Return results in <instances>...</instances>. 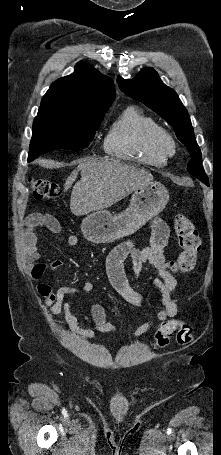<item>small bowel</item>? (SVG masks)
I'll return each instance as SVG.
<instances>
[{"mask_svg":"<svg viewBox=\"0 0 221 455\" xmlns=\"http://www.w3.org/2000/svg\"><path fill=\"white\" fill-rule=\"evenodd\" d=\"M45 228L53 233L61 231L58 220L47 213H33L25 222L21 234L22 251L26 262L33 266L32 274L34 278L41 277L47 271H53L63 266L62 261H53L49 264L37 263L40 254L37 250V231ZM169 240L168 226L160 219H154L149 230V245L139 248L133 241H127L116 246L107 256L105 265L106 272L114 290L127 303L139 306L143 303L144 296L136 291L127 278L125 272V261L130 258L133 265L135 278L138 279L143 271L145 264H149L157 276L153 279V285L160 294L163 305L155 319L148 320L139 325L132 333L130 339H135L151 329L155 321L163 322L167 319L176 317L182 312L178 305V279L177 276L168 268V262L164 255ZM69 246H76L79 238L70 235L67 238ZM93 289V284L89 281L84 282L80 288L81 292L87 294ZM37 291L44 297V304L49 307L52 315L63 314L65 322L76 334L92 339L95 332L107 333L117 330V325L111 323L106 318L104 308L100 304H94L91 308V315H84V319L89 323L90 328H81L76 316L72 313L71 303L67 296L78 292L74 287H59L54 290L47 283H40Z\"/></svg>","mask_w":221,"mask_h":455,"instance_id":"c3829d8e","label":"small bowel"}]
</instances>
